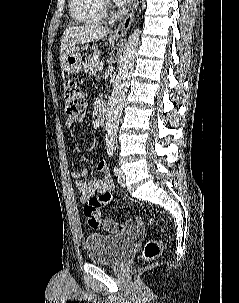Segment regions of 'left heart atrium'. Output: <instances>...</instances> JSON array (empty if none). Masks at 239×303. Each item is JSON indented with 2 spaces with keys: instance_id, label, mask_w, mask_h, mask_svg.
<instances>
[{
  "instance_id": "39dd6f15",
  "label": "left heart atrium",
  "mask_w": 239,
  "mask_h": 303,
  "mask_svg": "<svg viewBox=\"0 0 239 303\" xmlns=\"http://www.w3.org/2000/svg\"><path fill=\"white\" fill-rule=\"evenodd\" d=\"M114 1L119 6H125L131 2V0H114Z\"/></svg>"
}]
</instances>
